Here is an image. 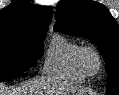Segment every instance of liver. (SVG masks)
I'll return each instance as SVG.
<instances>
[{"mask_svg":"<svg viewBox=\"0 0 119 95\" xmlns=\"http://www.w3.org/2000/svg\"><path fill=\"white\" fill-rule=\"evenodd\" d=\"M43 78L35 79L18 87H8L4 83H0V95H42L43 90L47 89L51 93L67 95L75 93L76 88L65 84H53Z\"/></svg>","mask_w":119,"mask_h":95,"instance_id":"liver-1","label":"liver"}]
</instances>
